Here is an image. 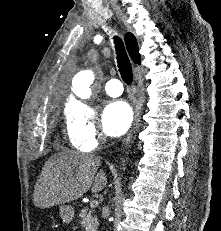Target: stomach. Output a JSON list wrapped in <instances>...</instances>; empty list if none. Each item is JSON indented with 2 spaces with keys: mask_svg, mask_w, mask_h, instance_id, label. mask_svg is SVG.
Returning <instances> with one entry per match:
<instances>
[{
  "mask_svg": "<svg viewBox=\"0 0 221 231\" xmlns=\"http://www.w3.org/2000/svg\"><path fill=\"white\" fill-rule=\"evenodd\" d=\"M59 214H60L63 222L68 224L73 220L75 210L70 205H60L59 206Z\"/></svg>",
  "mask_w": 221,
  "mask_h": 231,
  "instance_id": "stomach-1",
  "label": "stomach"
}]
</instances>
